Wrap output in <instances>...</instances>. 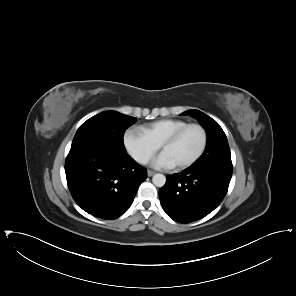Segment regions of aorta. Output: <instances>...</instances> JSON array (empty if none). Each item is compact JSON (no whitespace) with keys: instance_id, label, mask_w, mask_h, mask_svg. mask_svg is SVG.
I'll return each instance as SVG.
<instances>
[{"instance_id":"obj_1","label":"aorta","mask_w":296,"mask_h":296,"mask_svg":"<svg viewBox=\"0 0 296 296\" xmlns=\"http://www.w3.org/2000/svg\"><path fill=\"white\" fill-rule=\"evenodd\" d=\"M152 182L156 187H163L166 183V177L161 173H157L152 177Z\"/></svg>"}]
</instances>
